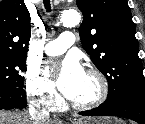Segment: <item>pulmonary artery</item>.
<instances>
[{
    "label": "pulmonary artery",
    "mask_w": 145,
    "mask_h": 124,
    "mask_svg": "<svg viewBox=\"0 0 145 124\" xmlns=\"http://www.w3.org/2000/svg\"><path fill=\"white\" fill-rule=\"evenodd\" d=\"M74 40V36L71 32H63L58 39L46 44L45 52L50 56L61 55L74 44Z\"/></svg>",
    "instance_id": "1"
}]
</instances>
